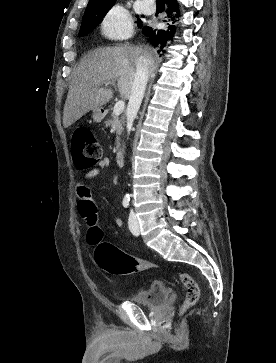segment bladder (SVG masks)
Returning <instances> with one entry per match:
<instances>
[{
	"instance_id": "bladder-1",
	"label": "bladder",
	"mask_w": 276,
	"mask_h": 363,
	"mask_svg": "<svg viewBox=\"0 0 276 363\" xmlns=\"http://www.w3.org/2000/svg\"><path fill=\"white\" fill-rule=\"evenodd\" d=\"M168 298V288L158 283H152L148 288L136 293L130 298L134 304L157 308L166 303Z\"/></svg>"
}]
</instances>
